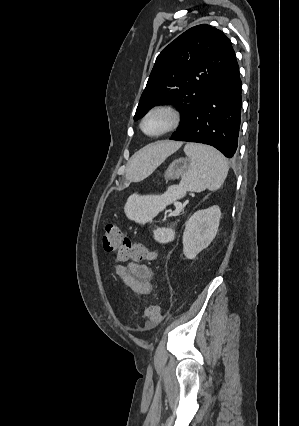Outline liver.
Returning <instances> with one entry per match:
<instances>
[{
	"mask_svg": "<svg viewBox=\"0 0 299 426\" xmlns=\"http://www.w3.org/2000/svg\"><path fill=\"white\" fill-rule=\"evenodd\" d=\"M181 146V142L159 141L143 147L132 156L128 166L129 175L132 178H138L151 174Z\"/></svg>",
	"mask_w": 299,
	"mask_h": 426,
	"instance_id": "obj_1",
	"label": "liver"
}]
</instances>
